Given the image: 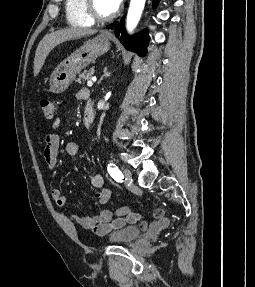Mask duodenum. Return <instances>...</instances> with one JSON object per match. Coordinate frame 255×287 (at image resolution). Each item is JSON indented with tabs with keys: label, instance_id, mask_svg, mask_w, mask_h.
Instances as JSON below:
<instances>
[{
	"label": "duodenum",
	"instance_id": "duodenum-1",
	"mask_svg": "<svg viewBox=\"0 0 255 287\" xmlns=\"http://www.w3.org/2000/svg\"><path fill=\"white\" fill-rule=\"evenodd\" d=\"M81 98L87 101L84 118H83V124L86 128L90 126V124L93 121L94 118V107L93 104L89 98V93L84 91L82 92Z\"/></svg>",
	"mask_w": 255,
	"mask_h": 287
}]
</instances>
